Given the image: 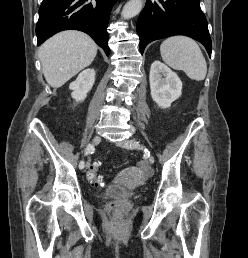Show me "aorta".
Instances as JSON below:
<instances>
[{
  "label": "aorta",
  "mask_w": 248,
  "mask_h": 258,
  "mask_svg": "<svg viewBox=\"0 0 248 258\" xmlns=\"http://www.w3.org/2000/svg\"><path fill=\"white\" fill-rule=\"evenodd\" d=\"M142 0H130L122 10V17L130 19L136 16L142 9Z\"/></svg>",
  "instance_id": "762f6f07"
}]
</instances>
